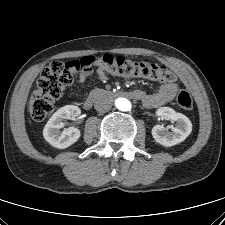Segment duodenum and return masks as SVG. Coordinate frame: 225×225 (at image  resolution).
Segmentation results:
<instances>
[{
	"label": "duodenum",
	"mask_w": 225,
	"mask_h": 225,
	"mask_svg": "<svg viewBox=\"0 0 225 225\" xmlns=\"http://www.w3.org/2000/svg\"><path fill=\"white\" fill-rule=\"evenodd\" d=\"M125 96V97H133L138 99L137 92H130V91H121V92H114L111 90H104V89H96L92 91L83 101V106L85 109H90L92 104L95 100L100 99L104 96Z\"/></svg>",
	"instance_id": "410a0bca"
}]
</instances>
